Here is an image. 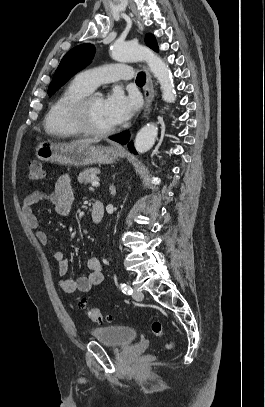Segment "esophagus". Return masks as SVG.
<instances>
[{
    "label": "esophagus",
    "instance_id": "34e87169",
    "mask_svg": "<svg viewBox=\"0 0 265 407\" xmlns=\"http://www.w3.org/2000/svg\"><path fill=\"white\" fill-rule=\"evenodd\" d=\"M143 69H144L145 75H146V83L144 86L145 108L142 113V118H146L152 107V102H153V98H154V87H153V81H152L151 74H150L147 64H143Z\"/></svg>",
    "mask_w": 265,
    "mask_h": 407
}]
</instances>
